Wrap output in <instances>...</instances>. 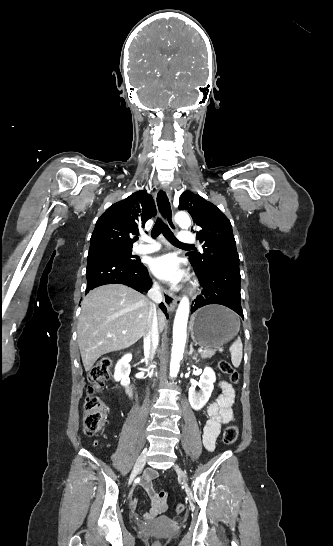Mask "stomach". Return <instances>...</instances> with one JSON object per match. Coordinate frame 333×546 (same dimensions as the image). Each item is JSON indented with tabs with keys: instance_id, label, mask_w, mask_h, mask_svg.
<instances>
[{
	"instance_id": "1",
	"label": "stomach",
	"mask_w": 333,
	"mask_h": 546,
	"mask_svg": "<svg viewBox=\"0 0 333 546\" xmlns=\"http://www.w3.org/2000/svg\"><path fill=\"white\" fill-rule=\"evenodd\" d=\"M238 331L237 316L221 305L199 309L191 322V337L202 348L217 349L233 339Z\"/></svg>"
}]
</instances>
